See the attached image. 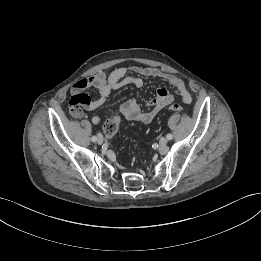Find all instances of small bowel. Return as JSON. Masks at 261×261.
<instances>
[{"label":"small bowel","instance_id":"small-bowel-1","mask_svg":"<svg viewBox=\"0 0 261 261\" xmlns=\"http://www.w3.org/2000/svg\"><path fill=\"white\" fill-rule=\"evenodd\" d=\"M128 71L133 72L135 76H128ZM143 78L159 79L175 89L183 103L189 104L192 101L191 94L187 90L184 81L176 76L150 67H119L108 75L104 72H98L95 75L76 81L71 88L70 112L73 117L81 118L83 109L88 111L99 109L105 104L107 97L113 91L128 85L141 88L144 84ZM90 88L98 91V98L91 99L85 93ZM173 101L174 96L166 88H159L155 98L146 105L145 109H142L136 100L129 99L118 107L115 114L122 115L129 121L148 124L164 107ZM91 121L97 125L101 122V117L94 115Z\"/></svg>","mask_w":261,"mask_h":261}]
</instances>
